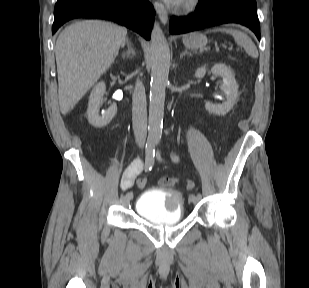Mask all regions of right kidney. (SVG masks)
<instances>
[{
	"instance_id": "ca27d5eb",
	"label": "right kidney",
	"mask_w": 309,
	"mask_h": 288,
	"mask_svg": "<svg viewBox=\"0 0 309 288\" xmlns=\"http://www.w3.org/2000/svg\"><path fill=\"white\" fill-rule=\"evenodd\" d=\"M105 91V83L99 82L94 86L89 97L87 109L88 121L96 128H101L109 124L117 113V105L112 104L107 111L102 112L101 116L99 115V108L102 104Z\"/></svg>"
}]
</instances>
